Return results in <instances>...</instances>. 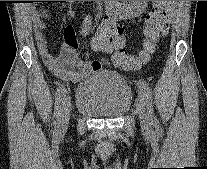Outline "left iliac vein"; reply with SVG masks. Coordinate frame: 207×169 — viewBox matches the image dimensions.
Here are the masks:
<instances>
[{
    "mask_svg": "<svg viewBox=\"0 0 207 169\" xmlns=\"http://www.w3.org/2000/svg\"><path fill=\"white\" fill-rule=\"evenodd\" d=\"M137 112H138L142 127L144 128L148 127L150 124V121H149V117L146 112L145 102H144V98L142 95H140L138 99Z\"/></svg>",
    "mask_w": 207,
    "mask_h": 169,
    "instance_id": "4c4485c4",
    "label": "left iliac vein"
}]
</instances>
